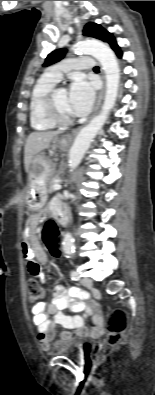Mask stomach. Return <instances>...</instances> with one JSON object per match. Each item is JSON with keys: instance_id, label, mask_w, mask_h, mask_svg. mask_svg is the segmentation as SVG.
I'll return each mask as SVG.
<instances>
[{"instance_id": "stomach-1", "label": "stomach", "mask_w": 155, "mask_h": 395, "mask_svg": "<svg viewBox=\"0 0 155 395\" xmlns=\"http://www.w3.org/2000/svg\"><path fill=\"white\" fill-rule=\"evenodd\" d=\"M55 142L65 148L68 140L65 137L56 138ZM55 165L46 160L42 155H36L31 162L29 172V184L26 191V202L32 211L40 210L47 200L46 184L54 173Z\"/></svg>"}]
</instances>
